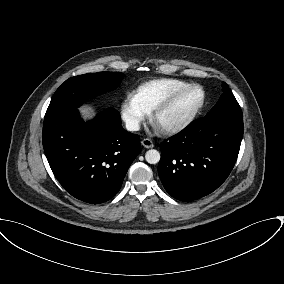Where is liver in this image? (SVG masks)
I'll use <instances>...</instances> for the list:
<instances>
[{
	"label": "liver",
	"mask_w": 284,
	"mask_h": 284,
	"mask_svg": "<svg viewBox=\"0 0 284 284\" xmlns=\"http://www.w3.org/2000/svg\"><path fill=\"white\" fill-rule=\"evenodd\" d=\"M89 110H90V109H88V108H82V109H81V111H82L84 114H86Z\"/></svg>",
	"instance_id": "1"
}]
</instances>
